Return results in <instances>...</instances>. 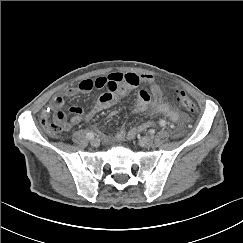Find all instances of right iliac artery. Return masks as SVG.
<instances>
[{"mask_svg": "<svg viewBox=\"0 0 243 243\" xmlns=\"http://www.w3.org/2000/svg\"><path fill=\"white\" fill-rule=\"evenodd\" d=\"M86 137H87L88 139H92V138H94V133H93V132H88V133L86 134Z\"/></svg>", "mask_w": 243, "mask_h": 243, "instance_id": "right-iliac-artery-1", "label": "right iliac artery"}]
</instances>
